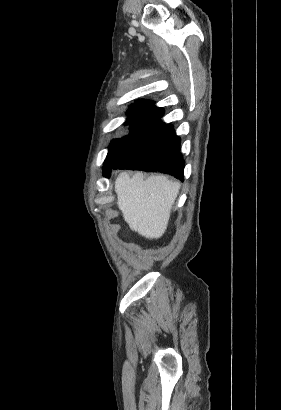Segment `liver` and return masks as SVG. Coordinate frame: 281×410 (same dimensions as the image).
<instances>
[{
	"label": "liver",
	"instance_id": "6515ba94",
	"mask_svg": "<svg viewBox=\"0 0 281 410\" xmlns=\"http://www.w3.org/2000/svg\"><path fill=\"white\" fill-rule=\"evenodd\" d=\"M179 190V182L162 175L144 180L141 172L132 177L121 172L115 182L117 205L124 220L132 231L148 239L160 238L165 233Z\"/></svg>",
	"mask_w": 281,
	"mask_h": 410
}]
</instances>
